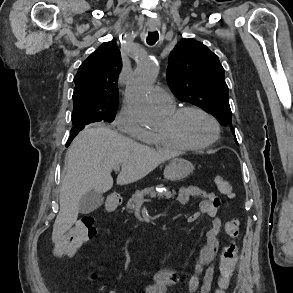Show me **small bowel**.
<instances>
[{
  "instance_id": "c3829d8e",
  "label": "small bowel",
  "mask_w": 293,
  "mask_h": 293,
  "mask_svg": "<svg viewBox=\"0 0 293 293\" xmlns=\"http://www.w3.org/2000/svg\"><path fill=\"white\" fill-rule=\"evenodd\" d=\"M192 198H201L199 208L187 218L189 223L198 221L206 215L212 219V225L206 233L204 246L201 248L198 260L194 265V274L187 279H181L178 272L170 269H161L149 274L150 283L142 286L139 291L129 293H169L171 287L180 281L186 283L188 293H210L215 275V268L211 265L219 248L218 235L222 228L219 216L220 199L214 193L198 186L183 187L178 190L177 200L180 204H187ZM203 274L200 280L199 275ZM107 293H117L108 290Z\"/></svg>"
}]
</instances>
